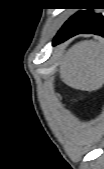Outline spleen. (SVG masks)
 <instances>
[{
	"label": "spleen",
	"instance_id": "obj_1",
	"mask_svg": "<svg viewBox=\"0 0 104 169\" xmlns=\"http://www.w3.org/2000/svg\"><path fill=\"white\" fill-rule=\"evenodd\" d=\"M59 73L62 81L74 89H100L104 82L102 41L86 40L73 45L64 55Z\"/></svg>",
	"mask_w": 104,
	"mask_h": 169
}]
</instances>
